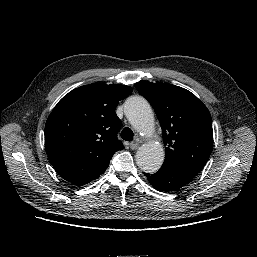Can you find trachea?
<instances>
[{
  "label": "trachea",
  "mask_w": 257,
  "mask_h": 257,
  "mask_svg": "<svg viewBox=\"0 0 257 257\" xmlns=\"http://www.w3.org/2000/svg\"><path fill=\"white\" fill-rule=\"evenodd\" d=\"M133 131L126 127L121 132V138L125 141H132L133 140Z\"/></svg>",
  "instance_id": "1"
}]
</instances>
